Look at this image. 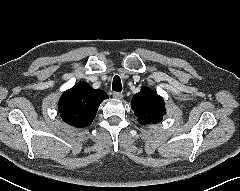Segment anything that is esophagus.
<instances>
[{"label": "esophagus", "mask_w": 240, "mask_h": 191, "mask_svg": "<svg viewBox=\"0 0 240 191\" xmlns=\"http://www.w3.org/2000/svg\"><path fill=\"white\" fill-rule=\"evenodd\" d=\"M113 97L115 99H122L123 98V94L122 93H119V92H114L113 93Z\"/></svg>", "instance_id": "34e87169"}]
</instances>
